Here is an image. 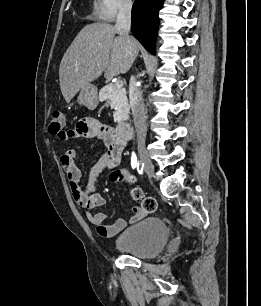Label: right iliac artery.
<instances>
[{"instance_id": "right-iliac-artery-1", "label": "right iliac artery", "mask_w": 261, "mask_h": 306, "mask_svg": "<svg viewBox=\"0 0 261 306\" xmlns=\"http://www.w3.org/2000/svg\"><path fill=\"white\" fill-rule=\"evenodd\" d=\"M131 166H132V168H136L137 167V171H138L139 174L143 173L144 165H143V163H139L137 161V156H136V154L134 152H132Z\"/></svg>"}]
</instances>
